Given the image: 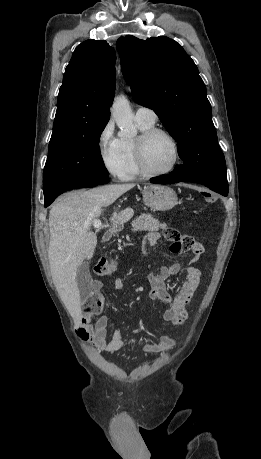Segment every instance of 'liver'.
<instances>
[{"instance_id":"6515ba94","label":"liver","mask_w":261,"mask_h":459,"mask_svg":"<svg viewBox=\"0 0 261 459\" xmlns=\"http://www.w3.org/2000/svg\"><path fill=\"white\" fill-rule=\"evenodd\" d=\"M134 184H112L65 194L49 213L50 242L48 259L52 278L61 300L75 324L81 319V299L76 276L85 259L93 257L97 236L91 232L92 221L102 208L114 203ZM133 215L127 208L115 215L124 222Z\"/></svg>"}]
</instances>
